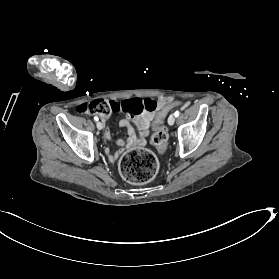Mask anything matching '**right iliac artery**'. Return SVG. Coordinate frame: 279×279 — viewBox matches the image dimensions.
I'll use <instances>...</instances> for the list:
<instances>
[{
  "mask_svg": "<svg viewBox=\"0 0 279 279\" xmlns=\"http://www.w3.org/2000/svg\"><path fill=\"white\" fill-rule=\"evenodd\" d=\"M94 120H95V121H98V117H97V116H96V117H94Z\"/></svg>",
  "mask_w": 279,
  "mask_h": 279,
  "instance_id": "obj_1",
  "label": "right iliac artery"
}]
</instances>
